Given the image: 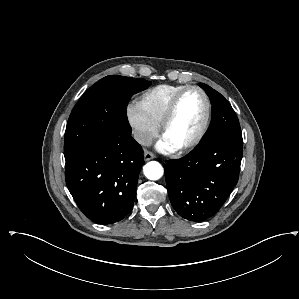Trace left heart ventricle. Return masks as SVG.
Instances as JSON below:
<instances>
[{
	"mask_svg": "<svg viewBox=\"0 0 299 299\" xmlns=\"http://www.w3.org/2000/svg\"><path fill=\"white\" fill-rule=\"evenodd\" d=\"M204 100L197 91L187 92L167 127L163 138L177 147L189 141L199 129L204 116Z\"/></svg>",
	"mask_w": 299,
	"mask_h": 299,
	"instance_id": "b2bd125f",
	"label": "left heart ventricle"
}]
</instances>
